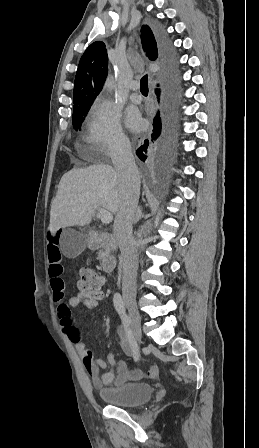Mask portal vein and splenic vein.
<instances>
[{
  "instance_id": "portal-vein-and-splenic-vein-1",
  "label": "portal vein and splenic vein",
  "mask_w": 259,
  "mask_h": 448,
  "mask_svg": "<svg viewBox=\"0 0 259 448\" xmlns=\"http://www.w3.org/2000/svg\"><path fill=\"white\" fill-rule=\"evenodd\" d=\"M100 220L103 224H110L113 220V216L111 212H107V210H101L100 212Z\"/></svg>"
}]
</instances>
